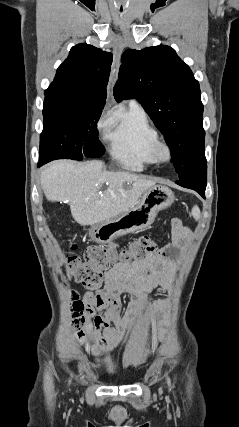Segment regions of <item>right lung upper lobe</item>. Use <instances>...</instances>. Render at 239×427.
Returning <instances> with one entry per match:
<instances>
[{
  "label": "right lung upper lobe",
  "instance_id": "obj_1",
  "mask_svg": "<svg viewBox=\"0 0 239 427\" xmlns=\"http://www.w3.org/2000/svg\"><path fill=\"white\" fill-rule=\"evenodd\" d=\"M112 54L92 45L78 44L59 66L54 81L45 90L44 103H69L103 108Z\"/></svg>",
  "mask_w": 239,
  "mask_h": 427
}]
</instances>
